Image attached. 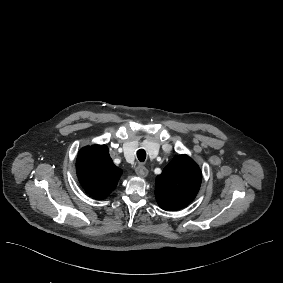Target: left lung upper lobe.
I'll return each mask as SVG.
<instances>
[{"label": "left lung upper lobe", "instance_id": "1", "mask_svg": "<svg viewBox=\"0 0 283 283\" xmlns=\"http://www.w3.org/2000/svg\"><path fill=\"white\" fill-rule=\"evenodd\" d=\"M201 170L187 155L175 156L157 176L155 197L164 210H176L188 205L197 195Z\"/></svg>", "mask_w": 283, "mask_h": 283}]
</instances>
